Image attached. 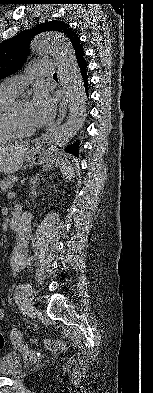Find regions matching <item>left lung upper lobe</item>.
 Listing matches in <instances>:
<instances>
[{
	"label": "left lung upper lobe",
	"mask_w": 153,
	"mask_h": 393,
	"mask_svg": "<svg viewBox=\"0 0 153 393\" xmlns=\"http://www.w3.org/2000/svg\"><path fill=\"white\" fill-rule=\"evenodd\" d=\"M44 31H57L64 34L71 41L76 55L84 52L80 37L68 23L59 20L40 23L34 29L23 31L0 44V80L21 68L29 53L30 40L37 33Z\"/></svg>",
	"instance_id": "5c2ea615"
}]
</instances>
